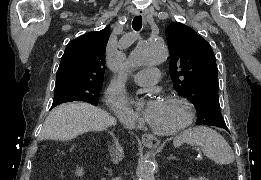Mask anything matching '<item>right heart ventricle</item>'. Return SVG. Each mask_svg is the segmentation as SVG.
<instances>
[{
	"instance_id": "right-heart-ventricle-1",
	"label": "right heart ventricle",
	"mask_w": 261,
	"mask_h": 180,
	"mask_svg": "<svg viewBox=\"0 0 261 180\" xmlns=\"http://www.w3.org/2000/svg\"><path fill=\"white\" fill-rule=\"evenodd\" d=\"M129 118L132 119L133 115L129 112Z\"/></svg>"
}]
</instances>
